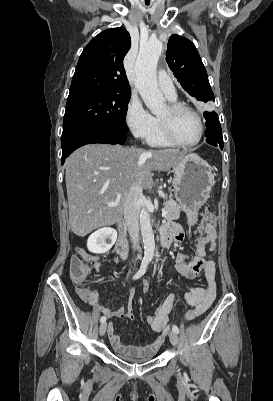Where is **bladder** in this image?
Here are the masks:
<instances>
[{"mask_svg":"<svg viewBox=\"0 0 273 401\" xmlns=\"http://www.w3.org/2000/svg\"><path fill=\"white\" fill-rule=\"evenodd\" d=\"M116 356H117V358H119L122 361L133 362V363H143V362L150 361L154 358V355L146 356V357L139 358V359H133V358H130L127 356H123L121 354H117Z\"/></svg>","mask_w":273,"mask_h":401,"instance_id":"bladder-1","label":"bladder"}]
</instances>
